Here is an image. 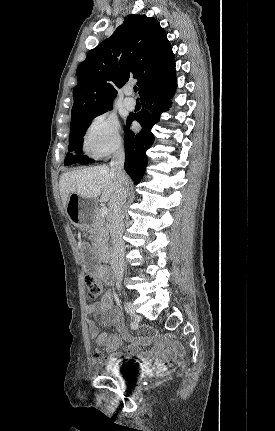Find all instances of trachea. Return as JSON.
Here are the masks:
<instances>
[{
  "label": "trachea",
  "mask_w": 275,
  "mask_h": 431,
  "mask_svg": "<svg viewBox=\"0 0 275 431\" xmlns=\"http://www.w3.org/2000/svg\"><path fill=\"white\" fill-rule=\"evenodd\" d=\"M137 90H138V88L135 86V87H134V92H137Z\"/></svg>",
  "instance_id": "trachea-1"
}]
</instances>
